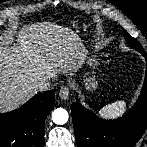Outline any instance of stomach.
I'll return each mask as SVG.
<instances>
[{
  "label": "stomach",
  "mask_w": 147,
  "mask_h": 147,
  "mask_svg": "<svg viewBox=\"0 0 147 147\" xmlns=\"http://www.w3.org/2000/svg\"><path fill=\"white\" fill-rule=\"evenodd\" d=\"M86 64H88L92 68H96L99 65V62L96 58H86ZM84 84L87 90H94L97 86L95 73L92 72V75L89 72L84 73Z\"/></svg>",
  "instance_id": "stomach-1"
}]
</instances>
